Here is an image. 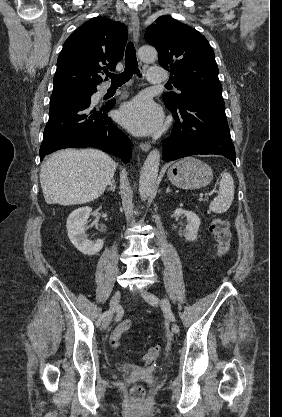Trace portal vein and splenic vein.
<instances>
[{
	"mask_svg": "<svg viewBox=\"0 0 282 417\" xmlns=\"http://www.w3.org/2000/svg\"><path fill=\"white\" fill-rule=\"evenodd\" d=\"M206 196L207 197H210L211 199H214L215 198V195L212 192H207L206 193Z\"/></svg>",
	"mask_w": 282,
	"mask_h": 417,
	"instance_id": "18ae733b",
	"label": "portal vein and splenic vein"
}]
</instances>
